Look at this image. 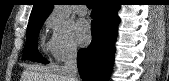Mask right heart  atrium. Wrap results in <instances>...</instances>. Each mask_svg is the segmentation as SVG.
Instances as JSON below:
<instances>
[{"instance_id":"1","label":"right heart atrium","mask_w":169,"mask_h":81,"mask_svg":"<svg viewBox=\"0 0 169 81\" xmlns=\"http://www.w3.org/2000/svg\"><path fill=\"white\" fill-rule=\"evenodd\" d=\"M46 26L50 32L48 50L56 61H63L77 52L71 26L56 18L54 14L47 17Z\"/></svg>"}]
</instances>
